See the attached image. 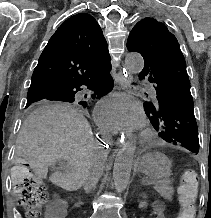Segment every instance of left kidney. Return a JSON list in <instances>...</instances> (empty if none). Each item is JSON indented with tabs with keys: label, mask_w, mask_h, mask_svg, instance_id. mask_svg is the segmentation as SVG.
Masks as SVG:
<instances>
[{
	"label": "left kidney",
	"mask_w": 211,
	"mask_h": 218,
	"mask_svg": "<svg viewBox=\"0 0 211 218\" xmlns=\"http://www.w3.org/2000/svg\"><path fill=\"white\" fill-rule=\"evenodd\" d=\"M164 207H167V202H154V207H152L151 211L152 218H164V215H167V210H164ZM137 210H146L144 202H139Z\"/></svg>",
	"instance_id": "5707ae66"
}]
</instances>
